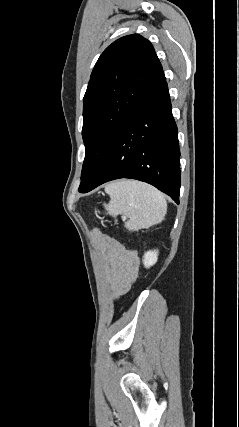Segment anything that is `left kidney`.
I'll return each mask as SVG.
<instances>
[{"label":"left kidney","instance_id":"5707ae66","mask_svg":"<svg viewBox=\"0 0 239 427\" xmlns=\"http://www.w3.org/2000/svg\"><path fill=\"white\" fill-rule=\"evenodd\" d=\"M158 259V250L148 251L144 254L143 264L146 268L153 266Z\"/></svg>","mask_w":239,"mask_h":427}]
</instances>
